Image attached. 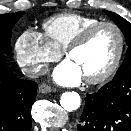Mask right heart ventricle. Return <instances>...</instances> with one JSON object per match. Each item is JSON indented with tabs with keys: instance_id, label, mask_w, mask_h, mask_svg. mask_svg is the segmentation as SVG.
<instances>
[{
	"instance_id": "right-heart-ventricle-1",
	"label": "right heart ventricle",
	"mask_w": 131,
	"mask_h": 131,
	"mask_svg": "<svg viewBox=\"0 0 131 131\" xmlns=\"http://www.w3.org/2000/svg\"><path fill=\"white\" fill-rule=\"evenodd\" d=\"M100 22L99 19L77 13H63L43 23L46 39L60 52L85 28Z\"/></svg>"
}]
</instances>
